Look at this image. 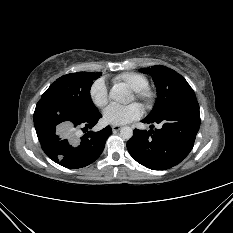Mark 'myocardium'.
Instances as JSON below:
<instances>
[{
    "label": "myocardium",
    "mask_w": 233,
    "mask_h": 233,
    "mask_svg": "<svg viewBox=\"0 0 233 233\" xmlns=\"http://www.w3.org/2000/svg\"><path fill=\"white\" fill-rule=\"evenodd\" d=\"M133 92L135 99L141 101L145 106H149L154 101L155 93L149 86L133 90Z\"/></svg>",
    "instance_id": "1"
}]
</instances>
